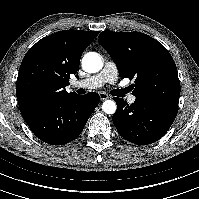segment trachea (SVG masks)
I'll return each instance as SVG.
<instances>
[{"label":"trachea","instance_id":"obj_1","mask_svg":"<svg viewBox=\"0 0 199 199\" xmlns=\"http://www.w3.org/2000/svg\"><path fill=\"white\" fill-rule=\"evenodd\" d=\"M126 93H128V89L125 88V89H118V90H114L112 92V94L114 96H118V97H123Z\"/></svg>","mask_w":199,"mask_h":199}]
</instances>
